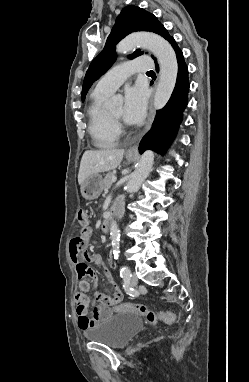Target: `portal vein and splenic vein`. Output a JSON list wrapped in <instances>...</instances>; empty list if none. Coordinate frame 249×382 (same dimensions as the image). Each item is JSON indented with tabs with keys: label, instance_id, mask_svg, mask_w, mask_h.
I'll return each mask as SVG.
<instances>
[{
	"label": "portal vein and splenic vein",
	"instance_id": "18ae733b",
	"mask_svg": "<svg viewBox=\"0 0 249 382\" xmlns=\"http://www.w3.org/2000/svg\"><path fill=\"white\" fill-rule=\"evenodd\" d=\"M116 181H117V177L114 176V177L112 178V182L114 183V182H116Z\"/></svg>",
	"mask_w": 249,
	"mask_h": 382
}]
</instances>
